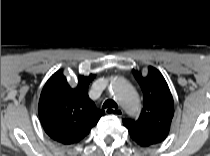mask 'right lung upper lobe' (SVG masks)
<instances>
[{"label":"right lung upper lobe","instance_id":"obj_1","mask_svg":"<svg viewBox=\"0 0 210 156\" xmlns=\"http://www.w3.org/2000/svg\"><path fill=\"white\" fill-rule=\"evenodd\" d=\"M94 78L92 74L79 76L77 86L71 87L59 70L46 82L38 113L45 132L53 140L66 145L79 142L104 114L88 96V86Z\"/></svg>","mask_w":210,"mask_h":156}]
</instances>
